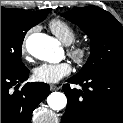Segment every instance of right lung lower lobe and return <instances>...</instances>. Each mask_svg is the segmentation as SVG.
Wrapping results in <instances>:
<instances>
[{"instance_id": "98d812e1", "label": "right lung lower lobe", "mask_w": 123, "mask_h": 123, "mask_svg": "<svg viewBox=\"0 0 123 123\" xmlns=\"http://www.w3.org/2000/svg\"><path fill=\"white\" fill-rule=\"evenodd\" d=\"M28 76L27 68L1 72V123H30L33 110L51 93L49 85L41 82L26 83L17 90Z\"/></svg>"}]
</instances>
